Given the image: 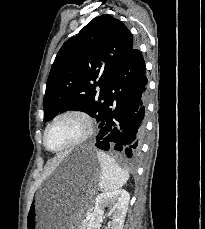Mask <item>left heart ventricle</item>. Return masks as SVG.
<instances>
[{"mask_svg":"<svg viewBox=\"0 0 205 229\" xmlns=\"http://www.w3.org/2000/svg\"><path fill=\"white\" fill-rule=\"evenodd\" d=\"M81 131L82 125L77 119H61L49 129L47 145L50 149H58L77 138Z\"/></svg>","mask_w":205,"mask_h":229,"instance_id":"1","label":"left heart ventricle"}]
</instances>
